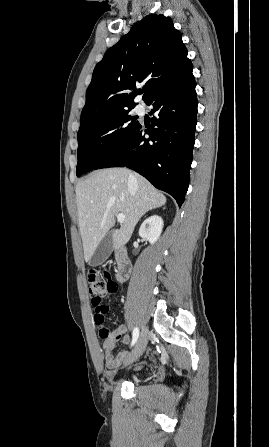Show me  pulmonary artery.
I'll return each mask as SVG.
<instances>
[{
  "label": "pulmonary artery",
  "mask_w": 269,
  "mask_h": 447,
  "mask_svg": "<svg viewBox=\"0 0 269 447\" xmlns=\"http://www.w3.org/2000/svg\"><path fill=\"white\" fill-rule=\"evenodd\" d=\"M138 110L143 111V110H144V106H143L142 104H140V105L138 106Z\"/></svg>",
  "instance_id": "1"
}]
</instances>
